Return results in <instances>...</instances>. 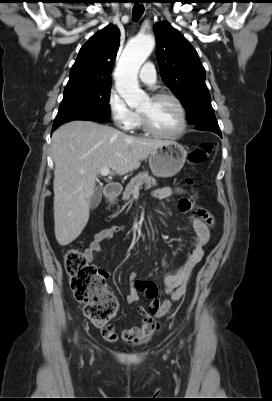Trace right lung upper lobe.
I'll use <instances>...</instances> for the list:
<instances>
[{
    "label": "right lung upper lobe",
    "instance_id": "right-lung-upper-lobe-1",
    "mask_svg": "<svg viewBox=\"0 0 272 401\" xmlns=\"http://www.w3.org/2000/svg\"><path fill=\"white\" fill-rule=\"evenodd\" d=\"M119 42L120 32L114 25H108L92 36L80 49L64 92L111 84Z\"/></svg>",
    "mask_w": 272,
    "mask_h": 401
}]
</instances>
